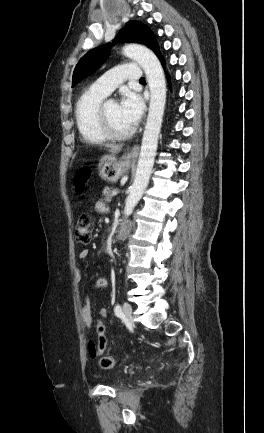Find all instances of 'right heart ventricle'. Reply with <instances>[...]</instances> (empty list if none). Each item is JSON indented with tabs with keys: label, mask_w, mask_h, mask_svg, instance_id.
I'll use <instances>...</instances> for the list:
<instances>
[{
	"label": "right heart ventricle",
	"mask_w": 264,
	"mask_h": 433,
	"mask_svg": "<svg viewBox=\"0 0 264 433\" xmlns=\"http://www.w3.org/2000/svg\"><path fill=\"white\" fill-rule=\"evenodd\" d=\"M105 95L92 88L84 91L75 105V120L77 129L85 142L100 143L107 140L100 128L97 112L105 99Z\"/></svg>",
	"instance_id": "1"
}]
</instances>
